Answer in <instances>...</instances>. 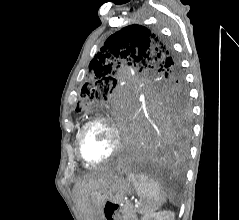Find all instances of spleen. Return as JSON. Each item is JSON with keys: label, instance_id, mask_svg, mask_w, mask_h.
I'll use <instances>...</instances> for the list:
<instances>
[{"label": "spleen", "instance_id": "3e777b00", "mask_svg": "<svg viewBox=\"0 0 239 220\" xmlns=\"http://www.w3.org/2000/svg\"><path fill=\"white\" fill-rule=\"evenodd\" d=\"M128 179L133 183L137 195L143 198V203L138 206V211L141 214L153 212L161 207L165 199L159 183L149 178L144 174L130 173Z\"/></svg>", "mask_w": 239, "mask_h": 220}]
</instances>
